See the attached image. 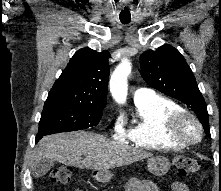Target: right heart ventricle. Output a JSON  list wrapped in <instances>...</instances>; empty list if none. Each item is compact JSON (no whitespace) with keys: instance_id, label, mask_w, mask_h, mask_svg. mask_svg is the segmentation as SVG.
Segmentation results:
<instances>
[{"instance_id":"e07e8e85","label":"right heart ventricle","mask_w":221,"mask_h":191,"mask_svg":"<svg viewBox=\"0 0 221 191\" xmlns=\"http://www.w3.org/2000/svg\"><path fill=\"white\" fill-rule=\"evenodd\" d=\"M136 119L125 130V138L134 146L153 149H181L188 144L173 140L167 134L169 117L182 110L172 99L155 95L151 100L135 103Z\"/></svg>"}]
</instances>
